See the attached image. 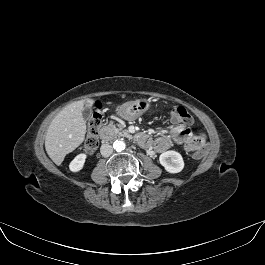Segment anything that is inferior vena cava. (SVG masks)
<instances>
[{"label":"inferior vena cava","instance_id":"inferior-vena-cava-1","mask_svg":"<svg viewBox=\"0 0 265 265\" xmlns=\"http://www.w3.org/2000/svg\"><path fill=\"white\" fill-rule=\"evenodd\" d=\"M100 152L103 157H109L113 152V148L110 144L106 143L101 145Z\"/></svg>","mask_w":265,"mask_h":265}]
</instances>
